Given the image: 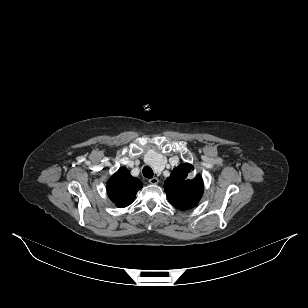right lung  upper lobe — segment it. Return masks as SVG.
I'll return each instance as SVG.
<instances>
[{
	"label": "right lung upper lobe",
	"mask_w": 308,
	"mask_h": 308,
	"mask_svg": "<svg viewBox=\"0 0 308 308\" xmlns=\"http://www.w3.org/2000/svg\"><path fill=\"white\" fill-rule=\"evenodd\" d=\"M141 188L142 182L139 179L132 177L126 168H120L109 180L107 193L117 207L124 208L134 201Z\"/></svg>",
	"instance_id": "1"
}]
</instances>
